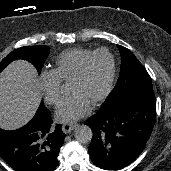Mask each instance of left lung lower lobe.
<instances>
[{
  "mask_svg": "<svg viewBox=\"0 0 171 171\" xmlns=\"http://www.w3.org/2000/svg\"><path fill=\"white\" fill-rule=\"evenodd\" d=\"M156 118V100L134 97L99 112L85 121L93 131L89 154L105 170L133 162L144 149Z\"/></svg>",
  "mask_w": 171,
  "mask_h": 171,
  "instance_id": "0a47b994",
  "label": "left lung lower lobe"
}]
</instances>
